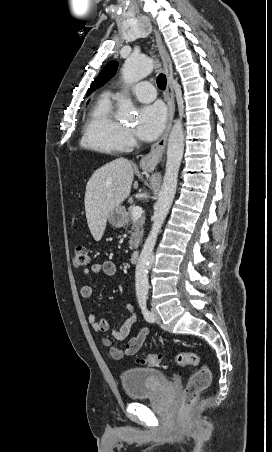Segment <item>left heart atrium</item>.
Masks as SVG:
<instances>
[{"label": "left heart atrium", "instance_id": "1", "mask_svg": "<svg viewBox=\"0 0 272 452\" xmlns=\"http://www.w3.org/2000/svg\"><path fill=\"white\" fill-rule=\"evenodd\" d=\"M166 110L160 103L145 106L139 111L137 134L143 140H154L165 127Z\"/></svg>", "mask_w": 272, "mask_h": 452}]
</instances>
